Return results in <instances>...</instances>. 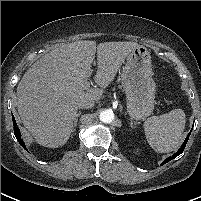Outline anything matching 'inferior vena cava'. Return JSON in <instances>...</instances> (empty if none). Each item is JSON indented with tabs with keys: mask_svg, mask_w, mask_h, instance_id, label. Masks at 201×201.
<instances>
[{
	"mask_svg": "<svg viewBox=\"0 0 201 201\" xmlns=\"http://www.w3.org/2000/svg\"><path fill=\"white\" fill-rule=\"evenodd\" d=\"M95 101L90 98H83L79 101L78 107L80 109H85V108H92L94 107Z\"/></svg>",
	"mask_w": 201,
	"mask_h": 201,
	"instance_id": "inferior-vena-cava-1",
	"label": "inferior vena cava"
}]
</instances>
